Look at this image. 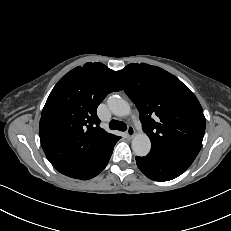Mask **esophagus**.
<instances>
[{"label":"esophagus","instance_id":"1","mask_svg":"<svg viewBox=\"0 0 231 231\" xmlns=\"http://www.w3.org/2000/svg\"><path fill=\"white\" fill-rule=\"evenodd\" d=\"M126 135L128 138H132L135 135V129L133 128V126H128Z\"/></svg>","mask_w":231,"mask_h":231}]
</instances>
